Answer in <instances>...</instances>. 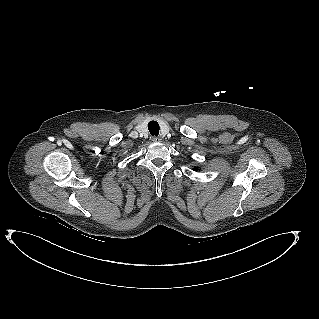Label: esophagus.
I'll use <instances>...</instances> for the list:
<instances>
[{
  "label": "esophagus",
  "instance_id": "34e87169",
  "mask_svg": "<svg viewBox=\"0 0 319 319\" xmlns=\"http://www.w3.org/2000/svg\"><path fill=\"white\" fill-rule=\"evenodd\" d=\"M161 140H162V139H161L160 137H157V136H153V137H152V141L155 142V143L161 142Z\"/></svg>",
  "mask_w": 319,
  "mask_h": 319
}]
</instances>
